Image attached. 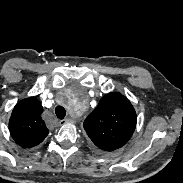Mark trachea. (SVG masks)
<instances>
[{
	"instance_id": "3493384b",
	"label": "trachea",
	"mask_w": 183,
	"mask_h": 183,
	"mask_svg": "<svg viewBox=\"0 0 183 183\" xmlns=\"http://www.w3.org/2000/svg\"><path fill=\"white\" fill-rule=\"evenodd\" d=\"M56 115L59 119H63L65 117V110L62 107H56Z\"/></svg>"
}]
</instances>
